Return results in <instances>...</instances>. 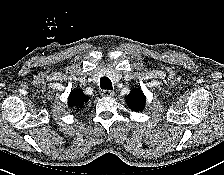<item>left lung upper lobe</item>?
Returning <instances> with one entry per match:
<instances>
[{
    "mask_svg": "<svg viewBox=\"0 0 224 175\" xmlns=\"http://www.w3.org/2000/svg\"><path fill=\"white\" fill-rule=\"evenodd\" d=\"M145 102V96L140 89H134L126 96L127 105L135 112L143 111Z\"/></svg>",
    "mask_w": 224,
    "mask_h": 175,
    "instance_id": "obj_1",
    "label": "left lung upper lobe"
}]
</instances>
